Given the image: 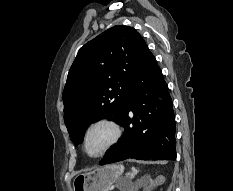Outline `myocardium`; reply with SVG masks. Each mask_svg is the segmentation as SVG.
Returning <instances> with one entry per match:
<instances>
[{"instance_id": "1", "label": "myocardium", "mask_w": 233, "mask_h": 191, "mask_svg": "<svg viewBox=\"0 0 233 191\" xmlns=\"http://www.w3.org/2000/svg\"><path fill=\"white\" fill-rule=\"evenodd\" d=\"M100 126H105L109 129L110 138L105 144V146L98 153L92 154L87 149L88 136L93 129L100 127ZM121 135H122V128L117 121L111 118H106V117L95 119L91 123L88 124V126L86 127L83 133L82 149L88 157L100 158L118 143Z\"/></svg>"}]
</instances>
